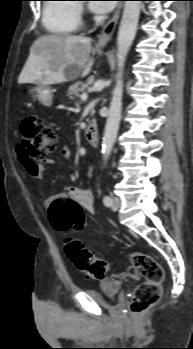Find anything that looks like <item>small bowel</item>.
I'll return each mask as SVG.
<instances>
[{"mask_svg":"<svg viewBox=\"0 0 193 349\" xmlns=\"http://www.w3.org/2000/svg\"><path fill=\"white\" fill-rule=\"evenodd\" d=\"M18 158L20 163L25 167L27 172L35 178H42L41 170L36 167L30 169V160L24 155L21 146L17 148ZM62 156L69 160L71 158V150L68 146L64 145L61 149ZM52 163V161H49ZM91 173V170L88 172ZM58 199L71 200L79 204L87 213L94 214V197L93 193L88 187L71 186L66 187L61 193L51 195L46 198L45 205L49 206ZM138 273L133 266H129L127 270L115 273L109 277H105L100 280V286L107 292H115L121 286V284L129 278H137Z\"/></svg>","mask_w":193,"mask_h":349,"instance_id":"obj_1","label":"small bowel"}]
</instances>
